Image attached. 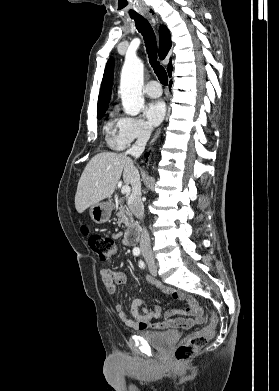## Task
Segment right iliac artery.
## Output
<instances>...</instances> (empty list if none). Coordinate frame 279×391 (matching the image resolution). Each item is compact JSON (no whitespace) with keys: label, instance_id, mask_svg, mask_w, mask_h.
<instances>
[{"label":"right iliac artery","instance_id":"right-iliac-artery-1","mask_svg":"<svg viewBox=\"0 0 279 391\" xmlns=\"http://www.w3.org/2000/svg\"><path fill=\"white\" fill-rule=\"evenodd\" d=\"M133 254H134L135 256H138V255L140 254V249H139V248H134V249H133Z\"/></svg>","mask_w":279,"mask_h":391}]
</instances>
